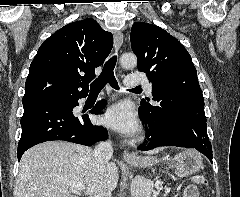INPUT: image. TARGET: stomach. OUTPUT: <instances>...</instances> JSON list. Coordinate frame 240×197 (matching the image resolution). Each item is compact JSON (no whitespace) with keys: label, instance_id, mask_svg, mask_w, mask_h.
<instances>
[{"label":"stomach","instance_id":"1","mask_svg":"<svg viewBox=\"0 0 240 197\" xmlns=\"http://www.w3.org/2000/svg\"><path fill=\"white\" fill-rule=\"evenodd\" d=\"M163 160H170V166L174 168L175 174L178 177H185L198 172L202 166V158L199 153L194 150H186L177 154L174 158ZM158 160L154 157H137L134 160L128 161L129 164L136 167H150L157 163Z\"/></svg>","mask_w":240,"mask_h":197}]
</instances>
